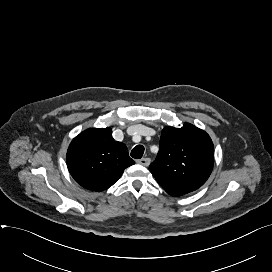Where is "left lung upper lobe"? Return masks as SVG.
<instances>
[{
    "label": "left lung upper lobe",
    "mask_w": 272,
    "mask_h": 272,
    "mask_svg": "<svg viewBox=\"0 0 272 272\" xmlns=\"http://www.w3.org/2000/svg\"><path fill=\"white\" fill-rule=\"evenodd\" d=\"M214 146L209 135L185 123L182 128L162 130L157 158L149 166L161 187L178 197L200 188L210 176Z\"/></svg>",
    "instance_id": "5c2ea615"
}]
</instances>
